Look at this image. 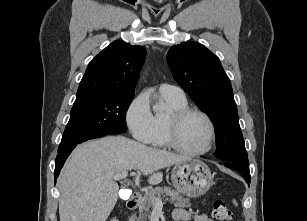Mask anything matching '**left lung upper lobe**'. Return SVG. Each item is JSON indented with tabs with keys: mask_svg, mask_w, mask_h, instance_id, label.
Returning <instances> with one entry per match:
<instances>
[{
	"mask_svg": "<svg viewBox=\"0 0 307 221\" xmlns=\"http://www.w3.org/2000/svg\"><path fill=\"white\" fill-rule=\"evenodd\" d=\"M167 62L174 79L216 127V157L249 168L230 80L219 58L198 42L172 46Z\"/></svg>",
	"mask_w": 307,
	"mask_h": 221,
	"instance_id": "obj_1",
	"label": "left lung upper lobe"
}]
</instances>
